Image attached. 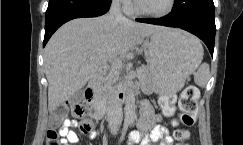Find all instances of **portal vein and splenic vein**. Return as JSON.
Returning <instances> with one entry per match:
<instances>
[{"mask_svg":"<svg viewBox=\"0 0 243 145\" xmlns=\"http://www.w3.org/2000/svg\"><path fill=\"white\" fill-rule=\"evenodd\" d=\"M115 63L119 66H122V61L120 59H115Z\"/></svg>","mask_w":243,"mask_h":145,"instance_id":"portal-vein-and-splenic-vein-1","label":"portal vein and splenic vein"}]
</instances>
